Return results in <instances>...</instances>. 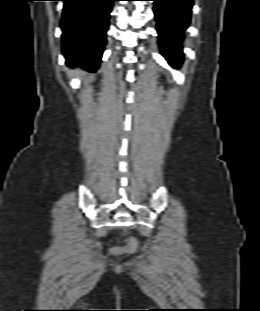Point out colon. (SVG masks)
Returning <instances> with one entry per match:
<instances>
[{
    "label": "colon",
    "mask_w": 260,
    "mask_h": 311,
    "mask_svg": "<svg viewBox=\"0 0 260 311\" xmlns=\"http://www.w3.org/2000/svg\"><path fill=\"white\" fill-rule=\"evenodd\" d=\"M138 247V242L135 238L133 237H130L128 239V246L123 249L122 251H125V252H134Z\"/></svg>",
    "instance_id": "obj_1"
}]
</instances>
